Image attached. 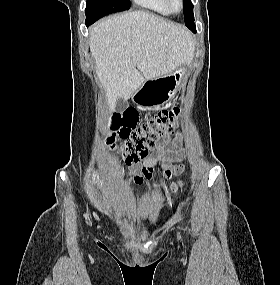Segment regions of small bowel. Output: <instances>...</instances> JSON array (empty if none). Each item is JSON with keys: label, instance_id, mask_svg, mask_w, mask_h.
Segmentation results:
<instances>
[{"label": "small bowel", "instance_id": "small-bowel-1", "mask_svg": "<svg viewBox=\"0 0 280 285\" xmlns=\"http://www.w3.org/2000/svg\"><path fill=\"white\" fill-rule=\"evenodd\" d=\"M179 138H175L174 142H178ZM162 148V145L158 146V150ZM168 160L171 162L170 166H167L164 169V174L166 176H170L172 174L180 173L183 170V167L179 164H176L178 156L177 152L172 150L165 151ZM159 161L152 157H144L141 160V163L138 164L136 162L129 163V165L133 168V180L136 184H142L145 181L150 180L153 177L154 168L158 165Z\"/></svg>", "mask_w": 280, "mask_h": 285}]
</instances>
